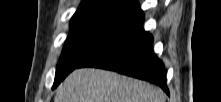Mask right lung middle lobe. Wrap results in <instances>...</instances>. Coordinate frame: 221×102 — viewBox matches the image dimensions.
<instances>
[{
	"label": "right lung middle lobe",
	"mask_w": 221,
	"mask_h": 102,
	"mask_svg": "<svg viewBox=\"0 0 221 102\" xmlns=\"http://www.w3.org/2000/svg\"><path fill=\"white\" fill-rule=\"evenodd\" d=\"M141 16L139 10L108 3L79 8L70 22V33L56 68L54 84L63 80L86 58L128 29Z\"/></svg>",
	"instance_id": "dd1d6c3e"
}]
</instances>
